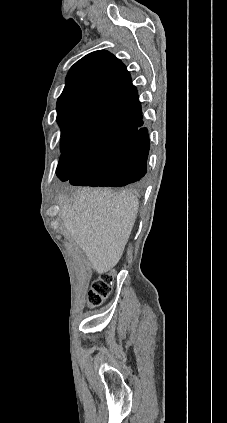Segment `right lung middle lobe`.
Masks as SVG:
<instances>
[{"instance_id": "obj_1", "label": "right lung middle lobe", "mask_w": 227, "mask_h": 423, "mask_svg": "<svg viewBox=\"0 0 227 423\" xmlns=\"http://www.w3.org/2000/svg\"><path fill=\"white\" fill-rule=\"evenodd\" d=\"M61 159L68 164L69 176H71L79 166L90 156L88 154L78 153L61 146Z\"/></svg>"}]
</instances>
